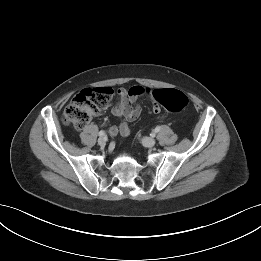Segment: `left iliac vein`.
Instances as JSON below:
<instances>
[{"label": "left iliac vein", "mask_w": 261, "mask_h": 261, "mask_svg": "<svg viewBox=\"0 0 261 261\" xmlns=\"http://www.w3.org/2000/svg\"><path fill=\"white\" fill-rule=\"evenodd\" d=\"M142 143L146 147H153L155 145L156 141L152 137H145L142 139Z\"/></svg>", "instance_id": "1"}]
</instances>
